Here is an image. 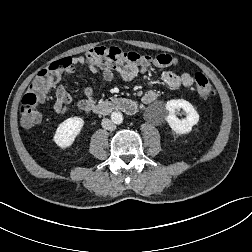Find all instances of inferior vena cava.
Masks as SVG:
<instances>
[{
	"label": "inferior vena cava",
	"mask_w": 252,
	"mask_h": 252,
	"mask_svg": "<svg viewBox=\"0 0 252 252\" xmlns=\"http://www.w3.org/2000/svg\"><path fill=\"white\" fill-rule=\"evenodd\" d=\"M102 127L110 131H114L116 129V125L113 123V121L106 118L102 119Z\"/></svg>",
	"instance_id": "inferior-vena-cava-1"
}]
</instances>
